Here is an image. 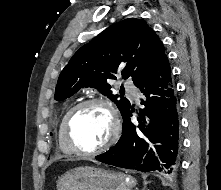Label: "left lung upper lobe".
Here are the masks:
<instances>
[{
  "label": "left lung upper lobe",
  "mask_w": 221,
  "mask_h": 190,
  "mask_svg": "<svg viewBox=\"0 0 221 190\" xmlns=\"http://www.w3.org/2000/svg\"><path fill=\"white\" fill-rule=\"evenodd\" d=\"M165 55L161 40L145 21L125 19L105 29L73 55L58 78L54 98L61 101L83 87L96 88L114 101L123 115L130 102L112 94L109 80L121 75L136 85Z\"/></svg>",
  "instance_id": "1"
}]
</instances>
